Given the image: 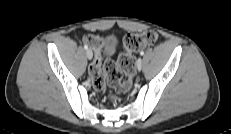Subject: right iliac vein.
Segmentation results:
<instances>
[{
	"label": "right iliac vein",
	"instance_id": "obj_1",
	"mask_svg": "<svg viewBox=\"0 0 231 134\" xmlns=\"http://www.w3.org/2000/svg\"><path fill=\"white\" fill-rule=\"evenodd\" d=\"M86 56H87V58H88L89 60L92 59L93 53H92V51H91L90 49H87V51H86Z\"/></svg>",
	"mask_w": 231,
	"mask_h": 134
}]
</instances>
